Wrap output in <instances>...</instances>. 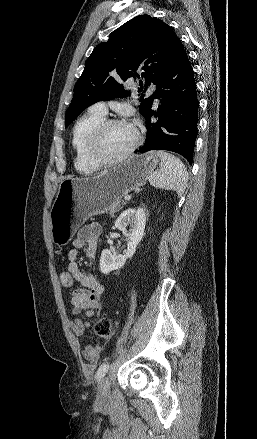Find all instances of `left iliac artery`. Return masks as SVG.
Returning <instances> with one entry per match:
<instances>
[{"label":"left iliac artery","instance_id":"1","mask_svg":"<svg viewBox=\"0 0 257 439\" xmlns=\"http://www.w3.org/2000/svg\"><path fill=\"white\" fill-rule=\"evenodd\" d=\"M108 369H109L108 363H104L99 367V369L97 370V373H96V379L98 382L105 376Z\"/></svg>","mask_w":257,"mask_h":439}]
</instances>
